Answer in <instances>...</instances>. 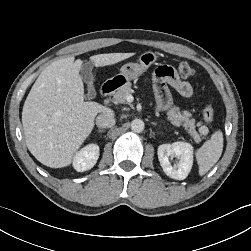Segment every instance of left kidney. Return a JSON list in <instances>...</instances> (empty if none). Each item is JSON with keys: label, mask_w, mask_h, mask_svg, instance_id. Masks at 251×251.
Returning <instances> with one entry per match:
<instances>
[{"label": "left kidney", "mask_w": 251, "mask_h": 251, "mask_svg": "<svg viewBox=\"0 0 251 251\" xmlns=\"http://www.w3.org/2000/svg\"><path fill=\"white\" fill-rule=\"evenodd\" d=\"M158 159L167 176L176 180H184L193 165V146L188 142H174L162 144L158 147ZM177 158V163L172 166L170 158Z\"/></svg>", "instance_id": "1"}]
</instances>
